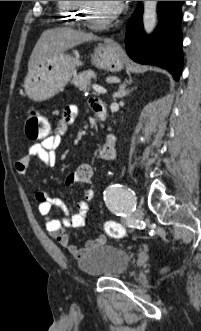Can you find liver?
I'll use <instances>...</instances> for the list:
<instances>
[{"label":"liver","mask_w":201,"mask_h":331,"mask_svg":"<svg viewBox=\"0 0 201 331\" xmlns=\"http://www.w3.org/2000/svg\"><path fill=\"white\" fill-rule=\"evenodd\" d=\"M97 39L98 37L93 34L66 27L46 30L40 36L31 53L28 62V73L36 70L40 65L45 64L60 53H64L86 41Z\"/></svg>","instance_id":"1"}]
</instances>
